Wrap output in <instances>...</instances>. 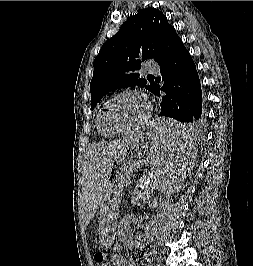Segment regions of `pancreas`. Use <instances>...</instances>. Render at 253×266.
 I'll return each instance as SVG.
<instances>
[{
    "label": "pancreas",
    "instance_id": "pancreas-1",
    "mask_svg": "<svg viewBox=\"0 0 253 266\" xmlns=\"http://www.w3.org/2000/svg\"><path fill=\"white\" fill-rule=\"evenodd\" d=\"M151 178H152V177H151ZM150 185H154L153 181L150 182ZM140 194H142L143 197H140ZM132 195H133L132 200H133L134 202H138V201H140V200H142V199H145V195H144L143 192H141V191H135V192H132Z\"/></svg>",
    "mask_w": 253,
    "mask_h": 266
}]
</instances>
